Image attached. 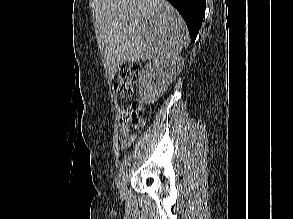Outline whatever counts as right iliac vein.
<instances>
[{
	"label": "right iliac vein",
	"instance_id": "right-iliac-vein-1",
	"mask_svg": "<svg viewBox=\"0 0 293 219\" xmlns=\"http://www.w3.org/2000/svg\"><path fill=\"white\" fill-rule=\"evenodd\" d=\"M126 174L124 173L122 175V177L119 179V182H118V188H119V191L121 194H124L125 193V189H126Z\"/></svg>",
	"mask_w": 293,
	"mask_h": 219
}]
</instances>
